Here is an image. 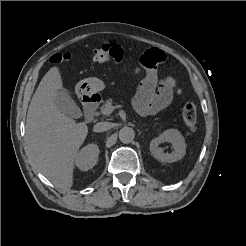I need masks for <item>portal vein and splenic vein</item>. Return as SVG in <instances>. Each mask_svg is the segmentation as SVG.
<instances>
[{
  "mask_svg": "<svg viewBox=\"0 0 246 246\" xmlns=\"http://www.w3.org/2000/svg\"><path fill=\"white\" fill-rule=\"evenodd\" d=\"M116 108H117L116 106H108V107L105 109L104 113H105V114H110V113H112L113 110L116 109Z\"/></svg>",
  "mask_w": 246,
  "mask_h": 246,
  "instance_id": "portal-vein-and-splenic-vein-1",
  "label": "portal vein and splenic vein"
}]
</instances>
